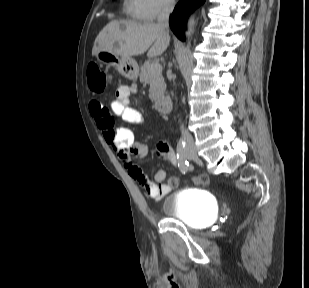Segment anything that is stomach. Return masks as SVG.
Instances as JSON below:
<instances>
[{
	"label": "stomach",
	"mask_w": 309,
	"mask_h": 288,
	"mask_svg": "<svg viewBox=\"0 0 309 288\" xmlns=\"http://www.w3.org/2000/svg\"><path fill=\"white\" fill-rule=\"evenodd\" d=\"M98 62L109 67H115L121 74L131 80H136L139 74L137 62L131 57H121L109 51H99L95 55Z\"/></svg>",
	"instance_id": "0dacf381"
}]
</instances>
